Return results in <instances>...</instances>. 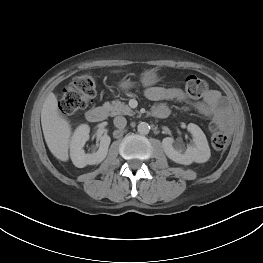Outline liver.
Returning a JSON list of instances; mask_svg holds the SVG:
<instances>
[{"label": "liver", "mask_w": 263, "mask_h": 263, "mask_svg": "<svg viewBox=\"0 0 263 263\" xmlns=\"http://www.w3.org/2000/svg\"><path fill=\"white\" fill-rule=\"evenodd\" d=\"M41 125L50 152L57 159L67 161L71 126L65 118L60 116L57 98L53 93H49L43 103Z\"/></svg>", "instance_id": "liver-1"}]
</instances>
